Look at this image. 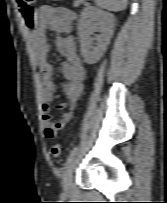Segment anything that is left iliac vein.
Listing matches in <instances>:
<instances>
[{
  "instance_id": "left-iliac-vein-1",
  "label": "left iliac vein",
  "mask_w": 167,
  "mask_h": 203,
  "mask_svg": "<svg viewBox=\"0 0 167 203\" xmlns=\"http://www.w3.org/2000/svg\"><path fill=\"white\" fill-rule=\"evenodd\" d=\"M77 157H74L73 160L67 165L62 181V187L64 194H69L72 191V182H73V171L76 166Z\"/></svg>"
}]
</instances>
